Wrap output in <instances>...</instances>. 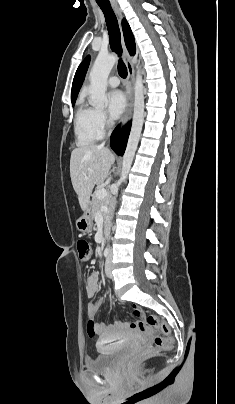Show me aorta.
Instances as JSON below:
<instances>
[{
    "mask_svg": "<svg viewBox=\"0 0 235 404\" xmlns=\"http://www.w3.org/2000/svg\"><path fill=\"white\" fill-rule=\"evenodd\" d=\"M117 55L99 53L90 71L89 97L90 104L96 108H102L107 103L106 90L108 76L117 62ZM144 122V86L142 76L137 72L134 85V113L132 127L123 156L121 171L122 182H125L129 174L133 158L138 146L139 138Z\"/></svg>",
    "mask_w": 235,
    "mask_h": 404,
    "instance_id": "1",
    "label": "aorta"
}]
</instances>
